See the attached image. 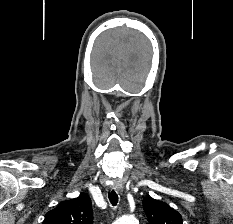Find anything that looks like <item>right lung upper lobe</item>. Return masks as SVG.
Segmentation results:
<instances>
[{"mask_svg": "<svg viewBox=\"0 0 233 224\" xmlns=\"http://www.w3.org/2000/svg\"><path fill=\"white\" fill-rule=\"evenodd\" d=\"M42 224H93L91 199L82 194L49 211Z\"/></svg>", "mask_w": 233, "mask_h": 224, "instance_id": "obj_1", "label": "right lung upper lobe"}]
</instances>
